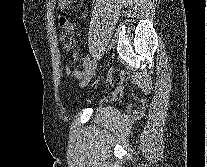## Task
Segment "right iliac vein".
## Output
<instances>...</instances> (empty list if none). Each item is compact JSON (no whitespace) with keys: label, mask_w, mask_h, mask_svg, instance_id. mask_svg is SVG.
Listing matches in <instances>:
<instances>
[{"label":"right iliac vein","mask_w":207,"mask_h":167,"mask_svg":"<svg viewBox=\"0 0 207 167\" xmlns=\"http://www.w3.org/2000/svg\"><path fill=\"white\" fill-rule=\"evenodd\" d=\"M96 68H97V61H96V59H94L91 62H89V64L87 65V67L85 69L84 77L80 83V86L82 88H84L88 85V83L90 82V80L92 79V77L95 73Z\"/></svg>","instance_id":"right-iliac-vein-1"}]
</instances>
